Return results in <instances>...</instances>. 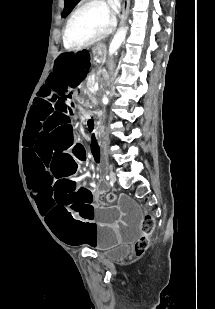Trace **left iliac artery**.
I'll list each match as a JSON object with an SVG mask.
<instances>
[{"label":"left iliac artery","mask_w":215,"mask_h":309,"mask_svg":"<svg viewBox=\"0 0 215 309\" xmlns=\"http://www.w3.org/2000/svg\"><path fill=\"white\" fill-rule=\"evenodd\" d=\"M106 179L109 180V176H106Z\"/></svg>","instance_id":"obj_1"}]
</instances>
